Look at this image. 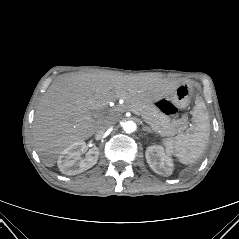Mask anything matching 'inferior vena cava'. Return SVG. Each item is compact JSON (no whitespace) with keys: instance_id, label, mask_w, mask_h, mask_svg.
<instances>
[{"instance_id":"inferior-vena-cava-1","label":"inferior vena cava","mask_w":239,"mask_h":239,"mask_svg":"<svg viewBox=\"0 0 239 239\" xmlns=\"http://www.w3.org/2000/svg\"><path fill=\"white\" fill-rule=\"evenodd\" d=\"M112 125V122L108 119L103 121V124L98 128L97 135L101 136L110 126Z\"/></svg>"}]
</instances>
